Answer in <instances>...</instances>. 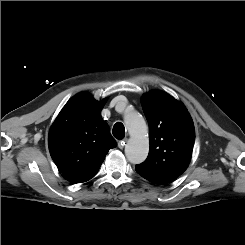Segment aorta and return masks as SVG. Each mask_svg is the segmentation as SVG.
Here are the masks:
<instances>
[{"instance_id":"aorta-1","label":"aorta","mask_w":245,"mask_h":245,"mask_svg":"<svg viewBox=\"0 0 245 245\" xmlns=\"http://www.w3.org/2000/svg\"><path fill=\"white\" fill-rule=\"evenodd\" d=\"M124 122L130 134L125 146V155L132 164L142 163L148 156V128L144 118L135 110L125 112Z\"/></svg>"}]
</instances>
